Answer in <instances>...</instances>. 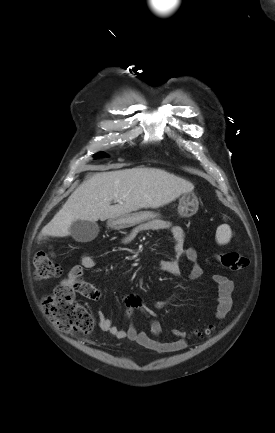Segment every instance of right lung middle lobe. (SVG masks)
<instances>
[{
  "instance_id": "obj_1",
  "label": "right lung middle lobe",
  "mask_w": 275,
  "mask_h": 433,
  "mask_svg": "<svg viewBox=\"0 0 275 433\" xmlns=\"http://www.w3.org/2000/svg\"><path fill=\"white\" fill-rule=\"evenodd\" d=\"M106 155L103 152H100L94 156V158L105 157Z\"/></svg>"
}]
</instances>
